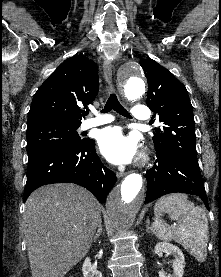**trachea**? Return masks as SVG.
Returning <instances> with one entry per match:
<instances>
[{"label":"trachea","instance_id":"1","mask_svg":"<svg viewBox=\"0 0 221 277\" xmlns=\"http://www.w3.org/2000/svg\"><path fill=\"white\" fill-rule=\"evenodd\" d=\"M111 110L116 111L120 115L131 118L130 114L124 109V107L119 103L118 98L115 94H110L104 109L101 111L102 113L109 112ZM89 112H84L87 115Z\"/></svg>","mask_w":221,"mask_h":277}]
</instances>
